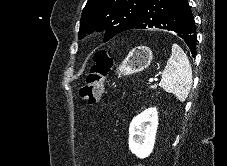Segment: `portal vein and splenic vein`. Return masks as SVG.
I'll return each mask as SVG.
<instances>
[{"instance_id":"obj_1","label":"portal vein and splenic vein","mask_w":227,"mask_h":166,"mask_svg":"<svg viewBox=\"0 0 227 166\" xmlns=\"http://www.w3.org/2000/svg\"><path fill=\"white\" fill-rule=\"evenodd\" d=\"M149 81H150V82L157 81V78H151Z\"/></svg>"}]
</instances>
